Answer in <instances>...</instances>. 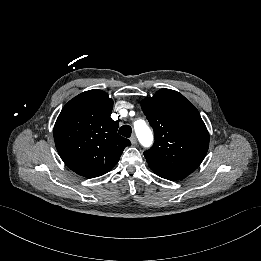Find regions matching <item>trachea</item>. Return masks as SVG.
Returning <instances> with one entry per match:
<instances>
[{"label": "trachea", "mask_w": 261, "mask_h": 261, "mask_svg": "<svg viewBox=\"0 0 261 261\" xmlns=\"http://www.w3.org/2000/svg\"><path fill=\"white\" fill-rule=\"evenodd\" d=\"M119 133L122 136L129 138L132 134V128L129 125H123L119 128Z\"/></svg>", "instance_id": "obj_1"}]
</instances>
